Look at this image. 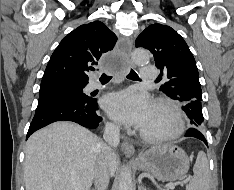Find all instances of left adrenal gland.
Returning <instances> with one entry per match:
<instances>
[{
  "mask_svg": "<svg viewBox=\"0 0 234 190\" xmlns=\"http://www.w3.org/2000/svg\"><path fill=\"white\" fill-rule=\"evenodd\" d=\"M138 190H147L142 184L139 183Z\"/></svg>",
  "mask_w": 234,
  "mask_h": 190,
  "instance_id": "1",
  "label": "left adrenal gland"
}]
</instances>
